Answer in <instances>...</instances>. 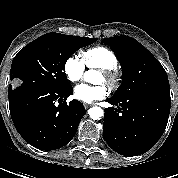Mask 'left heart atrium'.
Segmentation results:
<instances>
[{
    "instance_id": "39dd6f15",
    "label": "left heart atrium",
    "mask_w": 178,
    "mask_h": 178,
    "mask_svg": "<svg viewBox=\"0 0 178 178\" xmlns=\"http://www.w3.org/2000/svg\"><path fill=\"white\" fill-rule=\"evenodd\" d=\"M107 94V89L103 84L88 85L80 84L74 88V96L76 99L91 103L104 98Z\"/></svg>"
}]
</instances>
